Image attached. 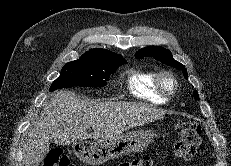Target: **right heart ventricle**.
Returning <instances> with one entry per match:
<instances>
[{
    "label": "right heart ventricle",
    "instance_id": "obj_1",
    "mask_svg": "<svg viewBox=\"0 0 231 166\" xmlns=\"http://www.w3.org/2000/svg\"><path fill=\"white\" fill-rule=\"evenodd\" d=\"M157 73L153 70H132L127 79L130 94L139 100L163 104L167 99L160 96L154 86Z\"/></svg>",
    "mask_w": 231,
    "mask_h": 166
}]
</instances>
